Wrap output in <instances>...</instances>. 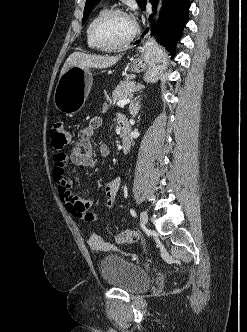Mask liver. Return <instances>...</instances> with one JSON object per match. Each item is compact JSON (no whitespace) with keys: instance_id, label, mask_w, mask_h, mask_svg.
Listing matches in <instances>:
<instances>
[{"instance_id":"1","label":"liver","mask_w":247,"mask_h":332,"mask_svg":"<svg viewBox=\"0 0 247 332\" xmlns=\"http://www.w3.org/2000/svg\"><path fill=\"white\" fill-rule=\"evenodd\" d=\"M119 59L120 56H102L83 52H74L65 61L61 69L60 76L72 66L104 69L116 64Z\"/></svg>"}]
</instances>
